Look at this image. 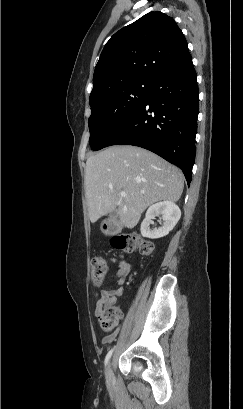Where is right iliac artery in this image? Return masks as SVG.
Masks as SVG:
<instances>
[{
	"label": "right iliac artery",
	"mask_w": 243,
	"mask_h": 409,
	"mask_svg": "<svg viewBox=\"0 0 243 409\" xmlns=\"http://www.w3.org/2000/svg\"><path fill=\"white\" fill-rule=\"evenodd\" d=\"M114 348H112L106 355L105 357V366L108 364V361L110 360L112 353H113Z\"/></svg>",
	"instance_id": "obj_1"
}]
</instances>
